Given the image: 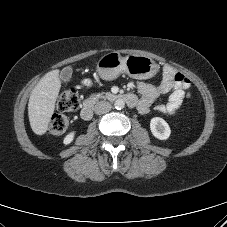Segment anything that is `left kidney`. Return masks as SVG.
<instances>
[{"instance_id":"5707ae66","label":"left kidney","mask_w":227,"mask_h":227,"mask_svg":"<svg viewBox=\"0 0 227 227\" xmlns=\"http://www.w3.org/2000/svg\"><path fill=\"white\" fill-rule=\"evenodd\" d=\"M150 130L153 136L159 140H167L171 134V129L168 123L160 117H154L151 119Z\"/></svg>"}]
</instances>
